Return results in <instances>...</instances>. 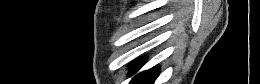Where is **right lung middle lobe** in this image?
Returning <instances> with one entry per match:
<instances>
[{"instance_id": "obj_1", "label": "right lung middle lobe", "mask_w": 260, "mask_h": 84, "mask_svg": "<svg viewBox=\"0 0 260 84\" xmlns=\"http://www.w3.org/2000/svg\"><path fill=\"white\" fill-rule=\"evenodd\" d=\"M141 64H142V63L140 62V63L134 65L133 68H132V70H137V69L141 66ZM141 75H142V74H141ZM141 75L137 76L134 80L138 79Z\"/></svg>"}]
</instances>
